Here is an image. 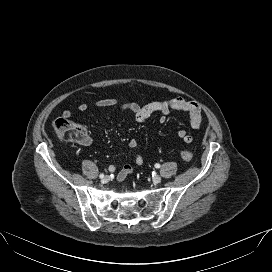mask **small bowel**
Segmentation results:
<instances>
[{
	"label": "small bowel",
	"instance_id": "c3829d8e",
	"mask_svg": "<svg viewBox=\"0 0 272 272\" xmlns=\"http://www.w3.org/2000/svg\"><path fill=\"white\" fill-rule=\"evenodd\" d=\"M94 105L99 108H112L115 107L119 111L130 112L134 115V118L137 122H145L152 114L160 113V122L164 123L167 116L172 110L184 111L188 113L190 126L198 130L202 126L203 118L201 108L198 103L194 101L186 100L182 97H176L160 101H152L145 105H139L137 103H124L119 104L118 101L114 98H103L95 101ZM89 105L86 102H81L77 105V109L81 112L86 111ZM72 112L70 110H64L62 112V117L70 118ZM178 137L181 138L185 143H192L193 137L188 134L184 129L178 131ZM138 142L135 139L129 141V147L131 149H138ZM134 163L137 166L143 165V157L140 153H136L134 156ZM111 171H115V165L109 167ZM134 172V167L130 164L124 165L117 174V179L119 181L124 180L127 176Z\"/></svg>",
	"mask_w": 272,
	"mask_h": 272
}]
</instances>
